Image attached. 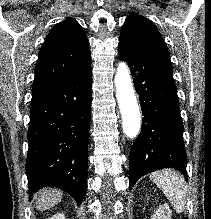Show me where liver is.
Returning a JSON list of instances; mask_svg holds the SVG:
<instances>
[{"mask_svg": "<svg viewBox=\"0 0 211 219\" xmlns=\"http://www.w3.org/2000/svg\"><path fill=\"white\" fill-rule=\"evenodd\" d=\"M63 192L58 189L45 188L37 194L36 208L47 210L61 202Z\"/></svg>", "mask_w": 211, "mask_h": 219, "instance_id": "6515ba94", "label": "liver"}]
</instances>
